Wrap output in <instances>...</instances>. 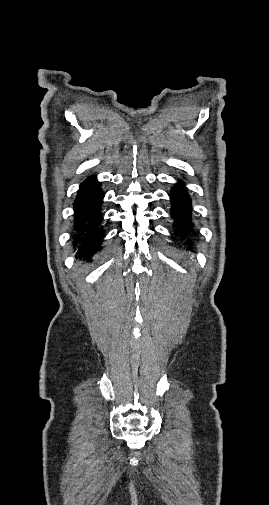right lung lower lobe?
I'll list each match as a JSON object with an SVG mask.
<instances>
[{
    "label": "right lung lower lobe",
    "mask_w": 269,
    "mask_h": 505,
    "mask_svg": "<svg viewBox=\"0 0 269 505\" xmlns=\"http://www.w3.org/2000/svg\"><path fill=\"white\" fill-rule=\"evenodd\" d=\"M96 176L81 183L74 202L73 245L77 254L87 257L101 249L103 240L102 199L104 193Z\"/></svg>",
    "instance_id": "1"
}]
</instances>
